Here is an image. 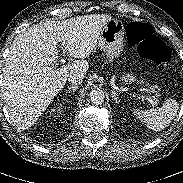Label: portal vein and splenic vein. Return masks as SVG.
I'll list each match as a JSON object with an SVG mask.
<instances>
[{
  "instance_id": "portal-vein-and-splenic-vein-1",
  "label": "portal vein and splenic vein",
  "mask_w": 183,
  "mask_h": 183,
  "mask_svg": "<svg viewBox=\"0 0 183 183\" xmlns=\"http://www.w3.org/2000/svg\"><path fill=\"white\" fill-rule=\"evenodd\" d=\"M63 47H64V46H62L61 48L63 49ZM60 61H61L62 63H65V62H66L64 58H61ZM143 97H144V99H145L150 105H152V106L155 105L154 102H153V100H151V99L148 98L147 96H143Z\"/></svg>"
}]
</instances>
